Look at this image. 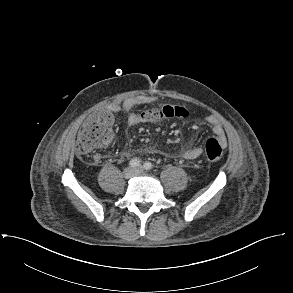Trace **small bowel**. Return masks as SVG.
Returning a JSON list of instances; mask_svg holds the SVG:
<instances>
[{"mask_svg": "<svg viewBox=\"0 0 293 293\" xmlns=\"http://www.w3.org/2000/svg\"><path fill=\"white\" fill-rule=\"evenodd\" d=\"M152 100L148 96H138L135 98H130L124 101L122 104H111L108 110L114 114H124L127 118L128 124L135 126L145 122H155L157 118L147 119L140 117L134 113V109L138 106H142L150 103ZM205 122L211 128L214 138L220 143L222 147L227 146V137L225 135L224 129L219 121L213 116H207ZM203 153V148L200 146L192 147L186 149L182 156L186 159L192 160L196 159ZM100 160V156L96 155L94 162L97 163Z\"/></svg>", "mask_w": 293, "mask_h": 293, "instance_id": "1", "label": "small bowel"}]
</instances>
